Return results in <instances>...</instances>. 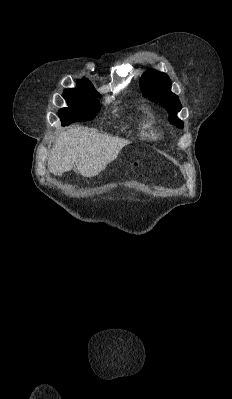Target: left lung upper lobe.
Listing matches in <instances>:
<instances>
[{
  "instance_id": "left-lung-upper-lobe-1",
  "label": "left lung upper lobe",
  "mask_w": 232,
  "mask_h": 399,
  "mask_svg": "<svg viewBox=\"0 0 232 399\" xmlns=\"http://www.w3.org/2000/svg\"><path fill=\"white\" fill-rule=\"evenodd\" d=\"M140 89L146 98L160 104L169 113V120L179 127L184 123L177 117L181 103L177 95L170 91L171 80L167 74L155 69L147 70L140 78Z\"/></svg>"
}]
</instances>
